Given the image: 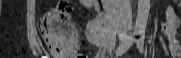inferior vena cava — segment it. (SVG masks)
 Listing matches in <instances>:
<instances>
[{
  "label": "inferior vena cava",
  "mask_w": 181,
  "mask_h": 58,
  "mask_svg": "<svg viewBox=\"0 0 181 58\" xmlns=\"http://www.w3.org/2000/svg\"><path fill=\"white\" fill-rule=\"evenodd\" d=\"M124 5L125 8L121 16V31L127 34L132 30V8L130 0H124Z\"/></svg>",
  "instance_id": "inferior-vena-cava-1"
}]
</instances>
